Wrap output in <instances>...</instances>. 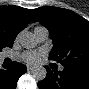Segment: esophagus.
I'll use <instances>...</instances> for the list:
<instances>
[{
  "label": "esophagus",
  "instance_id": "1",
  "mask_svg": "<svg viewBox=\"0 0 89 89\" xmlns=\"http://www.w3.org/2000/svg\"><path fill=\"white\" fill-rule=\"evenodd\" d=\"M27 70H28V72H31V71H33V67H31L30 65H28L27 66Z\"/></svg>",
  "mask_w": 89,
  "mask_h": 89
}]
</instances>
